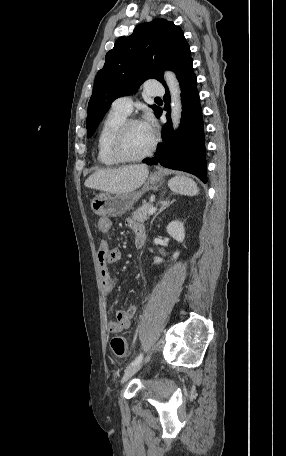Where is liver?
Segmentation results:
<instances>
[{
  "mask_svg": "<svg viewBox=\"0 0 286 456\" xmlns=\"http://www.w3.org/2000/svg\"><path fill=\"white\" fill-rule=\"evenodd\" d=\"M149 174L146 165H129L117 169H98L85 181L87 188L123 194L142 186Z\"/></svg>",
  "mask_w": 286,
  "mask_h": 456,
  "instance_id": "liver-1",
  "label": "liver"
}]
</instances>
